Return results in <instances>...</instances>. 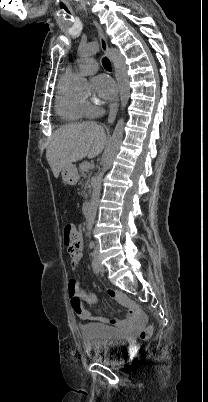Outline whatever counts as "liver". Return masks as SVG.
Listing matches in <instances>:
<instances>
[{
    "label": "liver",
    "instance_id": "obj_1",
    "mask_svg": "<svg viewBox=\"0 0 208 402\" xmlns=\"http://www.w3.org/2000/svg\"><path fill=\"white\" fill-rule=\"evenodd\" d=\"M106 144V134L96 122L68 124L54 132L47 148V162L55 176L64 166L78 162L82 158H96Z\"/></svg>",
    "mask_w": 208,
    "mask_h": 402
}]
</instances>
